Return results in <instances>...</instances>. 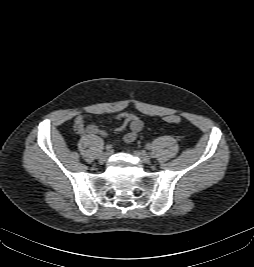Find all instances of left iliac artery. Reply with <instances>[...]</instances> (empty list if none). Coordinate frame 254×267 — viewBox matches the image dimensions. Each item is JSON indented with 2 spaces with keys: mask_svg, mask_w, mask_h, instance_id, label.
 I'll return each instance as SVG.
<instances>
[{
  "mask_svg": "<svg viewBox=\"0 0 254 267\" xmlns=\"http://www.w3.org/2000/svg\"><path fill=\"white\" fill-rule=\"evenodd\" d=\"M151 147H152V146H151L150 144H146V145H145V148H146L147 150H150Z\"/></svg>",
  "mask_w": 254,
  "mask_h": 267,
  "instance_id": "left-iliac-artery-1",
  "label": "left iliac artery"
}]
</instances>
